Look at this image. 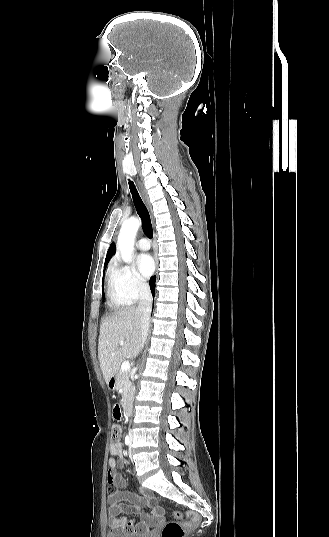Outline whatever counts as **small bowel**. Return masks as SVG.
I'll return each mask as SVG.
<instances>
[{
	"instance_id": "1",
	"label": "small bowel",
	"mask_w": 329,
	"mask_h": 537,
	"mask_svg": "<svg viewBox=\"0 0 329 537\" xmlns=\"http://www.w3.org/2000/svg\"><path fill=\"white\" fill-rule=\"evenodd\" d=\"M122 405L119 402L113 405V416L116 423L123 421ZM112 458L108 461V488L107 496L109 498V527L115 531L125 533L142 534L151 528L161 524L163 518L162 508L156 504L153 496L146 490L142 489V495H137L127 491L117 490L126 485L125 478L118 472L119 464L115 460L123 459V448L120 442L112 443L109 447ZM116 488V490L114 488ZM143 506H149L150 513L142 511ZM127 515H137L139 520L128 521Z\"/></svg>"
}]
</instances>
